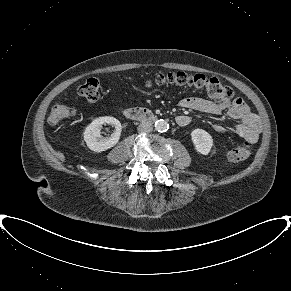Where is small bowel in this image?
Segmentation results:
<instances>
[{
    "mask_svg": "<svg viewBox=\"0 0 291 291\" xmlns=\"http://www.w3.org/2000/svg\"><path fill=\"white\" fill-rule=\"evenodd\" d=\"M180 106L214 116H220L225 112L230 119L239 121L234 127V131L239 136L250 143L258 140L261 132L260 119L241 98L215 103L200 97H187L180 101ZM176 122L179 126H187L191 118L187 115H179L176 117ZM213 129L220 134L228 131V128L220 123L214 124Z\"/></svg>",
    "mask_w": 291,
    "mask_h": 291,
    "instance_id": "c3829d8e",
    "label": "small bowel"
}]
</instances>
